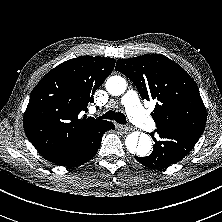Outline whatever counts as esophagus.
Instances as JSON below:
<instances>
[{
    "mask_svg": "<svg viewBox=\"0 0 222 222\" xmlns=\"http://www.w3.org/2000/svg\"><path fill=\"white\" fill-rule=\"evenodd\" d=\"M116 127H117V129L124 131V132H128L131 130V127H129V126H124V125H119V124H117Z\"/></svg>",
    "mask_w": 222,
    "mask_h": 222,
    "instance_id": "esophagus-1",
    "label": "esophagus"
}]
</instances>
